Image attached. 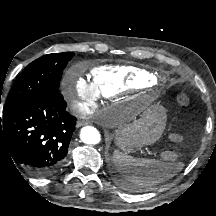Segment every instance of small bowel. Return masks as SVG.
I'll list each match as a JSON object with an SVG mask.
<instances>
[{
	"label": "small bowel",
	"instance_id": "obj_1",
	"mask_svg": "<svg viewBox=\"0 0 216 216\" xmlns=\"http://www.w3.org/2000/svg\"><path fill=\"white\" fill-rule=\"evenodd\" d=\"M172 140H174V141H176V142H180V141H181V138H180L179 135L174 134V135L172 136Z\"/></svg>",
	"mask_w": 216,
	"mask_h": 216
}]
</instances>
